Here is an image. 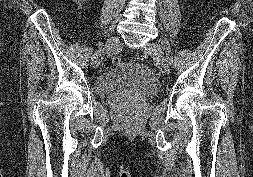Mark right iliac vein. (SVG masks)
<instances>
[{
    "label": "right iliac vein",
    "instance_id": "1",
    "mask_svg": "<svg viewBox=\"0 0 253 177\" xmlns=\"http://www.w3.org/2000/svg\"><path fill=\"white\" fill-rule=\"evenodd\" d=\"M117 46H119V38L117 36H113L110 39H108L105 45V49L101 50V52L99 53V57H96V53L93 55L92 57L93 66L94 67L97 66V64L99 63V60L101 59L105 51H109L113 48H116Z\"/></svg>",
    "mask_w": 253,
    "mask_h": 177
}]
</instances>
